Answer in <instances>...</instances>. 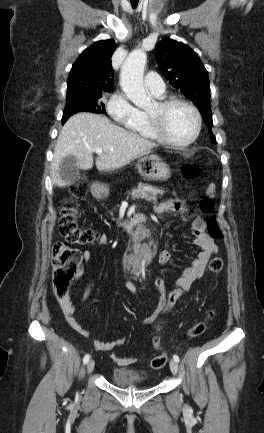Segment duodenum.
<instances>
[{
	"label": "duodenum",
	"instance_id": "duodenum-1",
	"mask_svg": "<svg viewBox=\"0 0 264 433\" xmlns=\"http://www.w3.org/2000/svg\"><path fill=\"white\" fill-rule=\"evenodd\" d=\"M94 195L96 197H100L102 195V192L99 189H94ZM142 216L135 215L130 222L126 223L124 225V229L127 232H132L134 230V227L137 226L141 222ZM135 255L139 258V263L137 268L135 269L136 273H139L142 268V262H150L153 258L154 251L151 247L147 245H141L136 248ZM131 259V258H129Z\"/></svg>",
	"mask_w": 264,
	"mask_h": 433
}]
</instances>
